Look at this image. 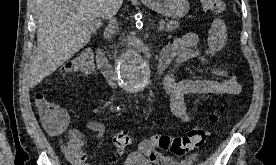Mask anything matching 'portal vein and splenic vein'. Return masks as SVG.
<instances>
[{"mask_svg": "<svg viewBox=\"0 0 276 165\" xmlns=\"http://www.w3.org/2000/svg\"><path fill=\"white\" fill-rule=\"evenodd\" d=\"M90 26H91L92 29H95V28H98V27L102 26V22L100 20L91 21ZM164 27H165V22L161 21L160 24H159L158 29L162 30V29H164Z\"/></svg>", "mask_w": 276, "mask_h": 165, "instance_id": "18ae733b", "label": "portal vein and splenic vein"}]
</instances>
